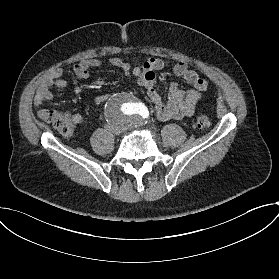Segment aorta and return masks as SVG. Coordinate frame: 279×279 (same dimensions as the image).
<instances>
[{
  "label": "aorta",
  "instance_id": "aorta-1",
  "mask_svg": "<svg viewBox=\"0 0 279 279\" xmlns=\"http://www.w3.org/2000/svg\"><path fill=\"white\" fill-rule=\"evenodd\" d=\"M136 102H134L130 95L120 94L115 96L107 107L108 115L114 117H131L135 110Z\"/></svg>",
  "mask_w": 279,
  "mask_h": 279
}]
</instances>
